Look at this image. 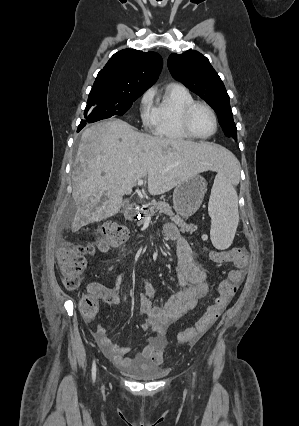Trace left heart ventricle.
Returning a JSON list of instances; mask_svg holds the SVG:
<instances>
[{"label":"left heart ventricle","instance_id":"left-heart-ventricle-1","mask_svg":"<svg viewBox=\"0 0 299 426\" xmlns=\"http://www.w3.org/2000/svg\"><path fill=\"white\" fill-rule=\"evenodd\" d=\"M191 126L195 133L206 136L213 132L214 121L207 109L197 107L191 116Z\"/></svg>","mask_w":299,"mask_h":426}]
</instances>
